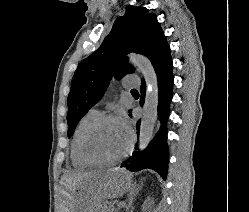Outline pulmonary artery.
I'll return each mask as SVG.
<instances>
[{
    "label": "pulmonary artery",
    "instance_id": "1",
    "mask_svg": "<svg viewBox=\"0 0 249 212\" xmlns=\"http://www.w3.org/2000/svg\"><path fill=\"white\" fill-rule=\"evenodd\" d=\"M123 87L126 89H132L134 88V85H132L131 83L123 82Z\"/></svg>",
    "mask_w": 249,
    "mask_h": 212
}]
</instances>
